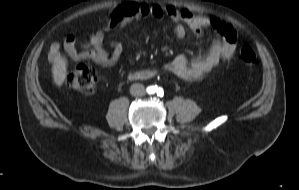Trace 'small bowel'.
Instances as JSON below:
<instances>
[{"instance_id": "c3829d8e", "label": "small bowel", "mask_w": 299, "mask_h": 190, "mask_svg": "<svg viewBox=\"0 0 299 190\" xmlns=\"http://www.w3.org/2000/svg\"><path fill=\"white\" fill-rule=\"evenodd\" d=\"M165 13L176 22L175 35L179 40L185 38L187 26L198 34L204 27H211L221 36V40L215 41L205 56L188 60L186 55L178 54L163 65L165 71L183 80L196 81L214 71L221 62L227 61L233 56L237 35L230 25L206 16L195 15L187 8L125 1L112 8L108 13V25L93 33L87 43L79 44L74 36H68L63 46L53 43L49 49V60L51 63L55 62L61 57L62 52H65L75 61H93L105 67L113 66L120 59L123 46L117 40H110L112 52L108 53L105 50L104 43L109 31L115 28L122 29L133 20L143 16L158 18Z\"/></svg>"}]
</instances>
